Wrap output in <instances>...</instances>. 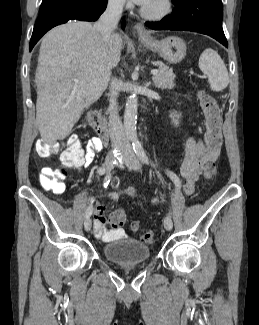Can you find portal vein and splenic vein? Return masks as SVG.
<instances>
[{"label":"portal vein and splenic vein","mask_w":259,"mask_h":325,"mask_svg":"<svg viewBox=\"0 0 259 325\" xmlns=\"http://www.w3.org/2000/svg\"><path fill=\"white\" fill-rule=\"evenodd\" d=\"M158 73V70L157 69H153L152 71H151V74H153V75H155V74H157ZM79 82V80L78 79H74V83H78Z\"/></svg>","instance_id":"1"}]
</instances>
